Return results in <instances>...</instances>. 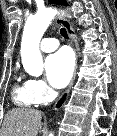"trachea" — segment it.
Listing matches in <instances>:
<instances>
[{"label":"trachea","mask_w":117,"mask_h":136,"mask_svg":"<svg viewBox=\"0 0 117 136\" xmlns=\"http://www.w3.org/2000/svg\"><path fill=\"white\" fill-rule=\"evenodd\" d=\"M60 34H61L64 38L68 39V34H67L66 29L61 28V29H60Z\"/></svg>","instance_id":"trachea-1"}]
</instances>
